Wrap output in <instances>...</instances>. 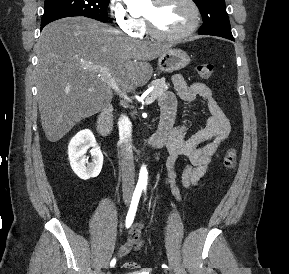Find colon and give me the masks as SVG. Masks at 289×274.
<instances>
[{"mask_svg":"<svg viewBox=\"0 0 289 274\" xmlns=\"http://www.w3.org/2000/svg\"><path fill=\"white\" fill-rule=\"evenodd\" d=\"M196 71L202 79H210L214 72V65L210 62H202L196 66ZM237 163V151L234 147H229L223 158V167L228 172H232ZM123 267L128 270H137L139 264L135 261L126 262Z\"/></svg>","mask_w":289,"mask_h":274,"instance_id":"1","label":"colon"}]
</instances>
